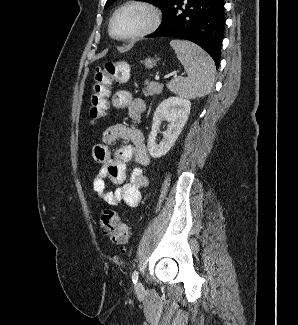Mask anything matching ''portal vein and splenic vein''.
I'll return each instance as SVG.
<instances>
[{"mask_svg": "<svg viewBox=\"0 0 298 325\" xmlns=\"http://www.w3.org/2000/svg\"><path fill=\"white\" fill-rule=\"evenodd\" d=\"M155 78H156V80H158V78H160V76H158V74H156Z\"/></svg>", "mask_w": 298, "mask_h": 325, "instance_id": "obj_1", "label": "portal vein and splenic vein"}]
</instances>
